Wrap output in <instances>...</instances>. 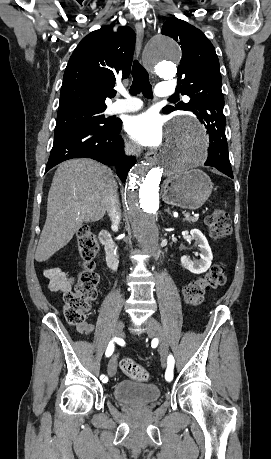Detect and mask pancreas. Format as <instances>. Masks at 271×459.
Instances as JSON below:
<instances>
[{"label": "pancreas", "mask_w": 271, "mask_h": 459, "mask_svg": "<svg viewBox=\"0 0 271 459\" xmlns=\"http://www.w3.org/2000/svg\"><path fill=\"white\" fill-rule=\"evenodd\" d=\"M185 220H187V222H197L198 218H192V216H188L185 218Z\"/></svg>", "instance_id": "cf45deb5"}]
</instances>
